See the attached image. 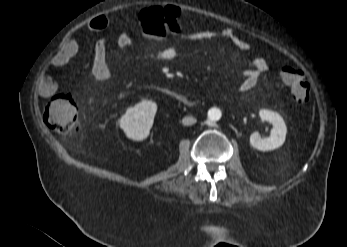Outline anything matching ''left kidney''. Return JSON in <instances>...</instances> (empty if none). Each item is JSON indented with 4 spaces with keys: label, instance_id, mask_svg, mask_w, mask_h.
I'll return each instance as SVG.
<instances>
[{
    "label": "left kidney",
    "instance_id": "1",
    "mask_svg": "<svg viewBox=\"0 0 347 247\" xmlns=\"http://www.w3.org/2000/svg\"><path fill=\"white\" fill-rule=\"evenodd\" d=\"M259 116L263 121L270 122L273 128L268 138H261L258 132L252 133L251 146L260 151H271L282 146L286 138L287 127L281 115L275 111L262 109Z\"/></svg>",
    "mask_w": 347,
    "mask_h": 247
}]
</instances>
